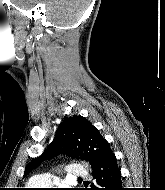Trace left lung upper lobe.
I'll return each instance as SVG.
<instances>
[{"label":"left lung upper lobe","instance_id":"obj_1","mask_svg":"<svg viewBox=\"0 0 165 190\" xmlns=\"http://www.w3.org/2000/svg\"><path fill=\"white\" fill-rule=\"evenodd\" d=\"M61 153L87 160L94 167L109 156L112 150L97 128L85 117H70L59 125L53 141L42 155L28 163L24 177L43 161Z\"/></svg>","mask_w":165,"mask_h":190}]
</instances>
